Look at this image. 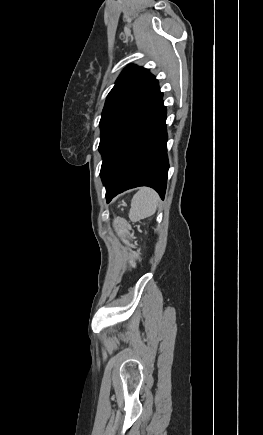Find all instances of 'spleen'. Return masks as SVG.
I'll return each mask as SVG.
<instances>
[{
	"instance_id": "spleen-1",
	"label": "spleen",
	"mask_w": 263,
	"mask_h": 435,
	"mask_svg": "<svg viewBox=\"0 0 263 435\" xmlns=\"http://www.w3.org/2000/svg\"><path fill=\"white\" fill-rule=\"evenodd\" d=\"M159 202L158 194L150 188H141L131 202L129 217L132 221H138L152 216Z\"/></svg>"
}]
</instances>
